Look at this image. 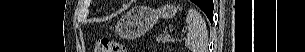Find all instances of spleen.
<instances>
[{"mask_svg":"<svg viewBox=\"0 0 305 52\" xmlns=\"http://www.w3.org/2000/svg\"><path fill=\"white\" fill-rule=\"evenodd\" d=\"M186 24L188 33L185 46L191 52H207L208 30L200 13L190 9L186 17Z\"/></svg>","mask_w":305,"mask_h":52,"instance_id":"1","label":"spleen"}]
</instances>
